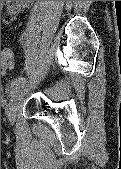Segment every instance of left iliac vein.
<instances>
[{"label": "left iliac vein", "mask_w": 121, "mask_h": 169, "mask_svg": "<svg viewBox=\"0 0 121 169\" xmlns=\"http://www.w3.org/2000/svg\"><path fill=\"white\" fill-rule=\"evenodd\" d=\"M32 86V84H29L28 86L23 85L15 90V92L13 93L11 103L7 111V116L11 123L15 121L21 101L24 98L25 94L28 92V90L32 88Z\"/></svg>", "instance_id": "1"}]
</instances>
